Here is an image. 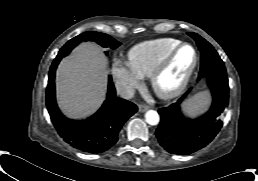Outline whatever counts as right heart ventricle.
<instances>
[{"label": "right heart ventricle", "instance_id": "right-heart-ventricle-1", "mask_svg": "<svg viewBox=\"0 0 258 181\" xmlns=\"http://www.w3.org/2000/svg\"><path fill=\"white\" fill-rule=\"evenodd\" d=\"M180 43L174 38L141 42L129 50L127 64L139 77H150L160 60Z\"/></svg>", "mask_w": 258, "mask_h": 181}]
</instances>
